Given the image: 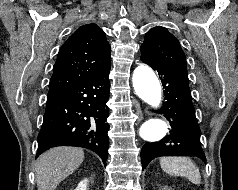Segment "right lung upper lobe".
I'll return each mask as SVG.
<instances>
[{
    "label": "right lung upper lobe",
    "instance_id": "1",
    "mask_svg": "<svg viewBox=\"0 0 238 190\" xmlns=\"http://www.w3.org/2000/svg\"><path fill=\"white\" fill-rule=\"evenodd\" d=\"M110 50L104 31L96 24L79 27L59 50L47 98L109 67Z\"/></svg>",
    "mask_w": 238,
    "mask_h": 190
}]
</instances>
